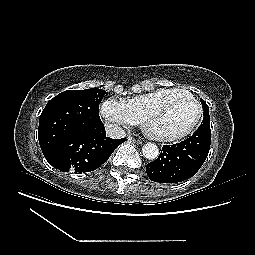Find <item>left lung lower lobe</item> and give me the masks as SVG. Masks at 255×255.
I'll return each mask as SVG.
<instances>
[{"label":"left lung lower lobe","mask_w":255,"mask_h":255,"mask_svg":"<svg viewBox=\"0 0 255 255\" xmlns=\"http://www.w3.org/2000/svg\"><path fill=\"white\" fill-rule=\"evenodd\" d=\"M209 121L210 117L203 119L200 127L186 140L163 145L158 159L147 164L148 177L154 182L177 183L194 176L210 150Z\"/></svg>","instance_id":"left-lung-lower-lobe-1"}]
</instances>
